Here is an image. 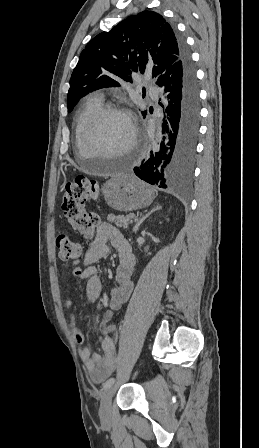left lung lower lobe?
I'll use <instances>...</instances> for the list:
<instances>
[{
	"instance_id": "left-lung-lower-lobe-1",
	"label": "left lung lower lobe",
	"mask_w": 259,
	"mask_h": 448,
	"mask_svg": "<svg viewBox=\"0 0 259 448\" xmlns=\"http://www.w3.org/2000/svg\"><path fill=\"white\" fill-rule=\"evenodd\" d=\"M178 38L181 57L156 82L164 89L168 101L163 118L164 141L144 164L134 168L140 179L171 191L183 190L191 182L200 118L195 69L184 39Z\"/></svg>"
}]
</instances>
